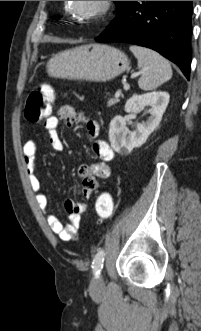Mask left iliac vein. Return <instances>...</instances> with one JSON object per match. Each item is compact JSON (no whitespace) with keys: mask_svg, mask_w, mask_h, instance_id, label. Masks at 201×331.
<instances>
[{"mask_svg":"<svg viewBox=\"0 0 201 331\" xmlns=\"http://www.w3.org/2000/svg\"><path fill=\"white\" fill-rule=\"evenodd\" d=\"M104 287V280L102 276H98L96 279H93L90 284V289L92 291H99Z\"/></svg>","mask_w":201,"mask_h":331,"instance_id":"4c4485c4","label":"left iliac vein"}]
</instances>
